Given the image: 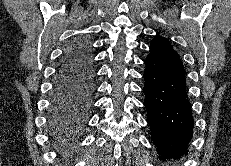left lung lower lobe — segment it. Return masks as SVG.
<instances>
[{
  "mask_svg": "<svg viewBox=\"0 0 231 166\" xmlns=\"http://www.w3.org/2000/svg\"><path fill=\"white\" fill-rule=\"evenodd\" d=\"M144 64V106L152 141L162 155L177 156L186 150L194 128L182 60L158 32Z\"/></svg>",
  "mask_w": 231,
  "mask_h": 166,
  "instance_id": "obj_1",
  "label": "left lung lower lobe"
}]
</instances>
